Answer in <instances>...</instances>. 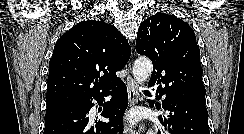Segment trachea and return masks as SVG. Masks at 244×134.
I'll use <instances>...</instances> for the list:
<instances>
[{"mask_svg":"<svg viewBox=\"0 0 244 134\" xmlns=\"http://www.w3.org/2000/svg\"><path fill=\"white\" fill-rule=\"evenodd\" d=\"M144 93L150 95V92L148 90H145Z\"/></svg>","mask_w":244,"mask_h":134,"instance_id":"obj_1","label":"trachea"}]
</instances>
